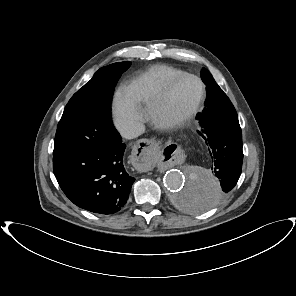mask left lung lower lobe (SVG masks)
Returning a JSON list of instances; mask_svg holds the SVG:
<instances>
[{
  "instance_id": "0a47b994",
  "label": "left lung lower lobe",
  "mask_w": 296,
  "mask_h": 296,
  "mask_svg": "<svg viewBox=\"0 0 296 296\" xmlns=\"http://www.w3.org/2000/svg\"><path fill=\"white\" fill-rule=\"evenodd\" d=\"M197 131L212 159V171L220 179V188L211 190L192 183L181 197L184 208L201 212L211 208L235 187L241 175L242 132L236 110L226 94L216 98L196 117Z\"/></svg>"
}]
</instances>
